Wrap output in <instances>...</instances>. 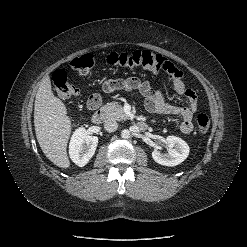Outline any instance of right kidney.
<instances>
[{
  "label": "right kidney",
  "mask_w": 247,
  "mask_h": 247,
  "mask_svg": "<svg viewBox=\"0 0 247 247\" xmlns=\"http://www.w3.org/2000/svg\"><path fill=\"white\" fill-rule=\"evenodd\" d=\"M97 144L98 137L90 135L85 128L76 129L69 144L71 160L79 167L85 166L93 157Z\"/></svg>",
  "instance_id": "obj_1"
}]
</instances>
